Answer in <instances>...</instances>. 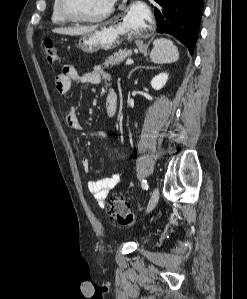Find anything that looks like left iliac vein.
Here are the masks:
<instances>
[{
    "label": "left iliac vein",
    "mask_w": 247,
    "mask_h": 299,
    "mask_svg": "<svg viewBox=\"0 0 247 299\" xmlns=\"http://www.w3.org/2000/svg\"><path fill=\"white\" fill-rule=\"evenodd\" d=\"M158 200H159V190H158V188H155L153 190L152 196L147 205L146 212H150L151 210H153L154 207L156 206V204L158 203Z\"/></svg>",
    "instance_id": "obj_1"
}]
</instances>
